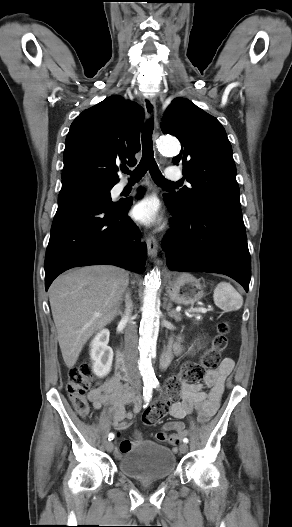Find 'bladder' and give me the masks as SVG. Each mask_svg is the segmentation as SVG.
<instances>
[{"instance_id": "obj_1", "label": "bladder", "mask_w": 292, "mask_h": 527, "mask_svg": "<svg viewBox=\"0 0 292 527\" xmlns=\"http://www.w3.org/2000/svg\"><path fill=\"white\" fill-rule=\"evenodd\" d=\"M118 469L123 475L137 480L164 479L174 473L176 458L170 448L142 441L121 454Z\"/></svg>"}]
</instances>
